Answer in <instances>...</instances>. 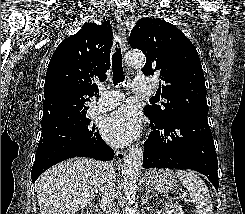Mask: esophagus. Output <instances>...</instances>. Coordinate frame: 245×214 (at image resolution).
<instances>
[{
  "label": "esophagus",
  "instance_id": "esophagus-1",
  "mask_svg": "<svg viewBox=\"0 0 245 214\" xmlns=\"http://www.w3.org/2000/svg\"><path fill=\"white\" fill-rule=\"evenodd\" d=\"M115 15L117 22L119 23V30H120V45L122 52L124 53L127 49V37H126V21H125V14L124 11L117 7L115 9ZM126 157V152L124 151H117L116 158L118 162H122Z\"/></svg>",
  "mask_w": 245,
  "mask_h": 214
}]
</instances>
